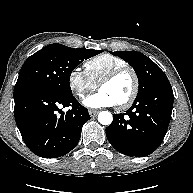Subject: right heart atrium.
Segmentation results:
<instances>
[{
	"label": "right heart atrium",
	"mask_w": 193,
	"mask_h": 193,
	"mask_svg": "<svg viewBox=\"0 0 193 193\" xmlns=\"http://www.w3.org/2000/svg\"><path fill=\"white\" fill-rule=\"evenodd\" d=\"M68 86L79 99L96 89V84L88 77L85 71L74 68L68 75Z\"/></svg>",
	"instance_id": "obj_1"
}]
</instances>
